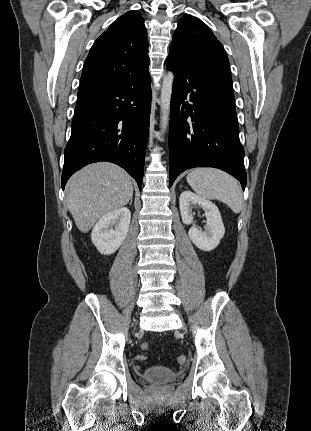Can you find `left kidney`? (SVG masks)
I'll return each mask as SVG.
<instances>
[{
    "label": "left kidney",
    "instance_id": "5707ae66",
    "mask_svg": "<svg viewBox=\"0 0 311 431\" xmlns=\"http://www.w3.org/2000/svg\"><path fill=\"white\" fill-rule=\"evenodd\" d=\"M194 206L202 208L205 212L204 216H206L207 221L205 231L198 229L193 223L194 212H192V208ZM179 208L183 223H193L188 235L196 247L204 249V251H210V249L217 247L225 233V227L217 206L213 202L201 198V196H196L193 192H182L179 198Z\"/></svg>",
    "mask_w": 311,
    "mask_h": 431
}]
</instances>
